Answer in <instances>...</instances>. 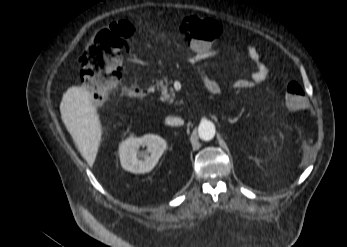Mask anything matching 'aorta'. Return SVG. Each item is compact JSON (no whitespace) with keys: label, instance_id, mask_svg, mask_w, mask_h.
Masks as SVG:
<instances>
[{"label":"aorta","instance_id":"762f6f07","mask_svg":"<svg viewBox=\"0 0 347 247\" xmlns=\"http://www.w3.org/2000/svg\"><path fill=\"white\" fill-rule=\"evenodd\" d=\"M199 136L202 140L209 141L215 136V126L210 121H204L199 125Z\"/></svg>","mask_w":347,"mask_h":247}]
</instances>
